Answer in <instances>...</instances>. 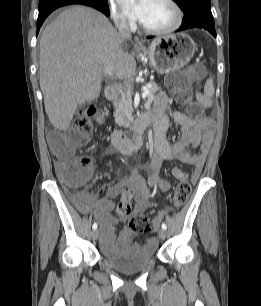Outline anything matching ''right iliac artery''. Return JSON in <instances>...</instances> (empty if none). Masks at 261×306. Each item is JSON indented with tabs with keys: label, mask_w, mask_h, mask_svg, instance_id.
<instances>
[{
	"label": "right iliac artery",
	"mask_w": 261,
	"mask_h": 306,
	"mask_svg": "<svg viewBox=\"0 0 261 306\" xmlns=\"http://www.w3.org/2000/svg\"><path fill=\"white\" fill-rule=\"evenodd\" d=\"M92 228H93V229H97V223H94V224L92 225Z\"/></svg>",
	"instance_id": "right-iliac-artery-1"
}]
</instances>
